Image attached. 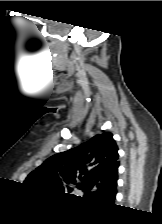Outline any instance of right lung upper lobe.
I'll return each instance as SVG.
<instances>
[{"mask_svg": "<svg viewBox=\"0 0 162 224\" xmlns=\"http://www.w3.org/2000/svg\"><path fill=\"white\" fill-rule=\"evenodd\" d=\"M118 157L112 133L104 132L78 147L51 156L24 183L62 194H69L76 185L86 197L112 202L116 195Z\"/></svg>", "mask_w": 162, "mask_h": 224, "instance_id": "obj_1", "label": "right lung upper lobe"}]
</instances>
